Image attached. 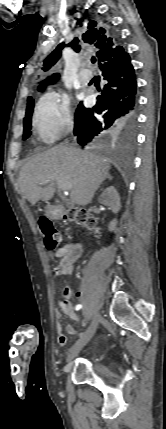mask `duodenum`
Listing matches in <instances>:
<instances>
[{
  "mask_svg": "<svg viewBox=\"0 0 166 429\" xmlns=\"http://www.w3.org/2000/svg\"><path fill=\"white\" fill-rule=\"evenodd\" d=\"M56 212H57L58 215H62L63 214V208L61 206H58L56 208Z\"/></svg>",
  "mask_w": 166,
  "mask_h": 429,
  "instance_id": "410a0bca",
  "label": "duodenum"
}]
</instances>
